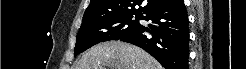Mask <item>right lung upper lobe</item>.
Listing matches in <instances>:
<instances>
[{
	"label": "right lung upper lobe",
	"instance_id": "1",
	"mask_svg": "<svg viewBox=\"0 0 246 69\" xmlns=\"http://www.w3.org/2000/svg\"><path fill=\"white\" fill-rule=\"evenodd\" d=\"M165 0H91L83 21L98 20L113 15L142 14L146 9L159 5ZM143 6H140V5ZM139 8L136 9L135 6Z\"/></svg>",
	"mask_w": 246,
	"mask_h": 69
}]
</instances>
